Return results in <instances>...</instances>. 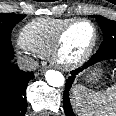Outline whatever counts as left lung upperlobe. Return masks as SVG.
<instances>
[{
  "label": "left lung upper lobe",
  "mask_w": 116,
  "mask_h": 116,
  "mask_svg": "<svg viewBox=\"0 0 116 116\" xmlns=\"http://www.w3.org/2000/svg\"><path fill=\"white\" fill-rule=\"evenodd\" d=\"M91 17L96 18L104 33V40L97 53H108L116 50V21L100 15H92Z\"/></svg>",
  "instance_id": "5c2ea615"
}]
</instances>
